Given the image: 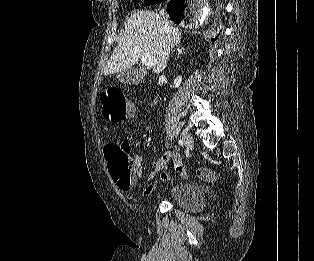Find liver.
Returning a JSON list of instances; mask_svg holds the SVG:
<instances>
[{
  "label": "liver",
  "instance_id": "1",
  "mask_svg": "<svg viewBox=\"0 0 314 261\" xmlns=\"http://www.w3.org/2000/svg\"><path fill=\"white\" fill-rule=\"evenodd\" d=\"M180 40V31L169 25L158 13L143 10L134 12L103 73L108 76L131 69L143 55L150 54L156 60L153 72L158 75L167 66L169 44L178 45Z\"/></svg>",
  "mask_w": 314,
  "mask_h": 261
}]
</instances>
